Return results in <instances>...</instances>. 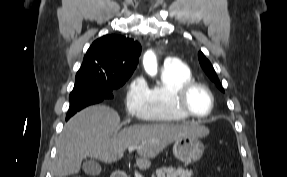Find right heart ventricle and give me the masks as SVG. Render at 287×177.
Here are the masks:
<instances>
[{"label": "right heart ventricle", "mask_w": 287, "mask_h": 177, "mask_svg": "<svg viewBox=\"0 0 287 177\" xmlns=\"http://www.w3.org/2000/svg\"><path fill=\"white\" fill-rule=\"evenodd\" d=\"M193 76L188 66L179 63L165 65L161 70L160 82L148 88L145 119L154 123H175L189 117L175 107V97L179 89Z\"/></svg>", "instance_id": "obj_1"}]
</instances>
